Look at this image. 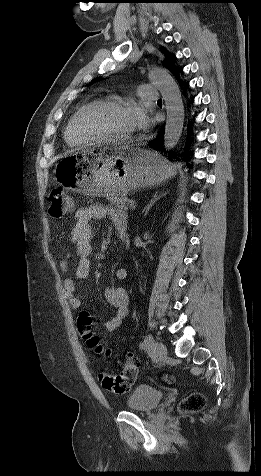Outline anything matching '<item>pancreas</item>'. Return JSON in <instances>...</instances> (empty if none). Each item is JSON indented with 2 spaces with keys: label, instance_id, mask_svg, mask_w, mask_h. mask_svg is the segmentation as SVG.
<instances>
[{
  "label": "pancreas",
  "instance_id": "1",
  "mask_svg": "<svg viewBox=\"0 0 261 476\" xmlns=\"http://www.w3.org/2000/svg\"><path fill=\"white\" fill-rule=\"evenodd\" d=\"M129 199L126 196H119L115 198H111L110 202L112 205H115L116 208L119 210H127L128 209V204H129Z\"/></svg>",
  "mask_w": 261,
  "mask_h": 476
}]
</instances>
